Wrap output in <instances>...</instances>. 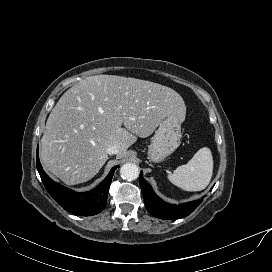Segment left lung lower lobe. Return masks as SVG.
Returning <instances> with one entry per match:
<instances>
[{
  "instance_id": "left-lung-lower-lobe-1",
  "label": "left lung lower lobe",
  "mask_w": 272,
  "mask_h": 272,
  "mask_svg": "<svg viewBox=\"0 0 272 272\" xmlns=\"http://www.w3.org/2000/svg\"><path fill=\"white\" fill-rule=\"evenodd\" d=\"M139 183L147 210L152 215L160 219L173 220L188 216L202 202V200H195L180 205H173L164 202L154 193L151 186L143 178L142 171L139 176Z\"/></svg>"
}]
</instances>
